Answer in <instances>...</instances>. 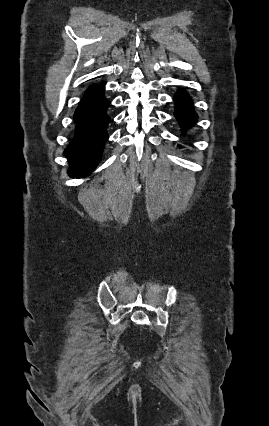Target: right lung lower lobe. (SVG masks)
Returning a JSON list of instances; mask_svg holds the SVG:
<instances>
[{"label":"right lung lower lobe","mask_w":269,"mask_h":426,"mask_svg":"<svg viewBox=\"0 0 269 426\" xmlns=\"http://www.w3.org/2000/svg\"><path fill=\"white\" fill-rule=\"evenodd\" d=\"M110 102L104 97V88L91 86L78 105L74 121L75 135L65 149L69 159L71 177H84L97 165L104 143L108 139L106 132L110 118L106 114Z\"/></svg>","instance_id":"obj_1"}]
</instances>
